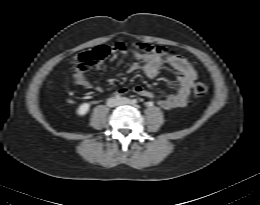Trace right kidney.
<instances>
[{
    "label": "right kidney",
    "mask_w": 260,
    "mask_h": 205,
    "mask_svg": "<svg viewBox=\"0 0 260 205\" xmlns=\"http://www.w3.org/2000/svg\"><path fill=\"white\" fill-rule=\"evenodd\" d=\"M90 108V104L89 103H82L78 108H77V115L78 116H84L88 113Z\"/></svg>",
    "instance_id": "ca27d5eb"
}]
</instances>
